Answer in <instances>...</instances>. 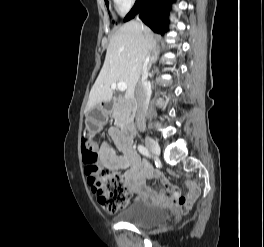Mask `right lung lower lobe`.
I'll list each match as a JSON object with an SVG mask.
<instances>
[{
    "mask_svg": "<svg viewBox=\"0 0 264 247\" xmlns=\"http://www.w3.org/2000/svg\"><path fill=\"white\" fill-rule=\"evenodd\" d=\"M173 0H137L134 7L124 18V22L133 19L140 12V19L154 32L164 34L168 31L169 10Z\"/></svg>",
    "mask_w": 264,
    "mask_h": 247,
    "instance_id": "1",
    "label": "right lung lower lobe"
}]
</instances>
